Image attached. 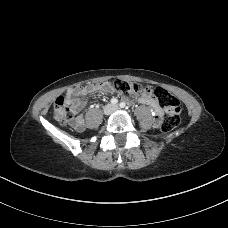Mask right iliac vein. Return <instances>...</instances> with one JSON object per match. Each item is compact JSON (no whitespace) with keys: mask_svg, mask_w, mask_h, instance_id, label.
<instances>
[{"mask_svg":"<svg viewBox=\"0 0 228 228\" xmlns=\"http://www.w3.org/2000/svg\"><path fill=\"white\" fill-rule=\"evenodd\" d=\"M103 111L105 115H109L112 111V106L111 105L105 106Z\"/></svg>","mask_w":228,"mask_h":228,"instance_id":"obj_1","label":"right iliac vein"}]
</instances>
